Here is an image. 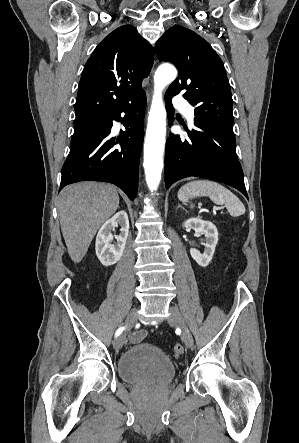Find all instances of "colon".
<instances>
[{
	"label": "colon",
	"instance_id": "5ec220e1",
	"mask_svg": "<svg viewBox=\"0 0 299 443\" xmlns=\"http://www.w3.org/2000/svg\"><path fill=\"white\" fill-rule=\"evenodd\" d=\"M184 354V348L181 344H176L173 347V355L175 357H181Z\"/></svg>",
	"mask_w": 299,
	"mask_h": 443
}]
</instances>
